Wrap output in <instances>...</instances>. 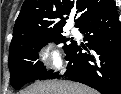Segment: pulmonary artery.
I'll return each mask as SVG.
<instances>
[{"mask_svg":"<svg viewBox=\"0 0 121 94\" xmlns=\"http://www.w3.org/2000/svg\"><path fill=\"white\" fill-rule=\"evenodd\" d=\"M70 30H71V32H72L73 34H78V33H79L78 29L75 28V27H71Z\"/></svg>","mask_w":121,"mask_h":94,"instance_id":"e3ab8cb5","label":"pulmonary artery"}]
</instances>
